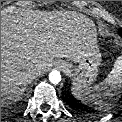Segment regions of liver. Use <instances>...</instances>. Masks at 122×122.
Instances as JSON below:
<instances>
[{
    "instance_id": "obj_1",
    "label": "liver",
    "mask_w": 122,
    "mask_h": 122,
    "mask_svg": "<svg viewBox=\"0 0 122 122\" xmlns=\"http://www.w3.org/2000/svg\"><path fill=\"white\" fill-rule=\"evenodd\" d=\"M96 48L94 23L77 12L29 10L1 17V104L20 97L55 58L77 63Z\"/></svg>"
}]
</instances>
